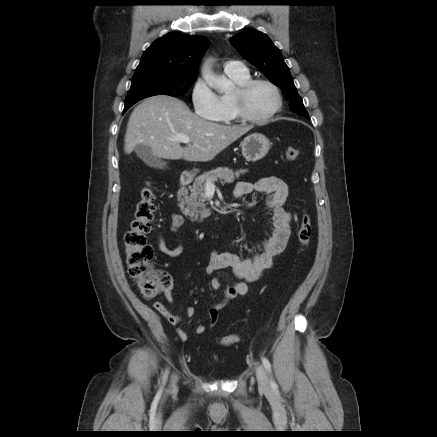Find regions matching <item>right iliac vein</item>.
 Instances as JSON below:
<instances>
[{
  "instance_id": "63e3f726",
  "label": "right iliac vein",
  "mask_w": 437,
  "mask_h": 437,
  "mask_svg": "<svg viewBox=\"0 0 437 437\" xmlns=\"http://www.w3.org/2000/svg\"><path fill=\"white\" fill-rule=\"evenodd\" d=\"M176 382H177V377L174 376V377L172 378V384H171V385H172L173 387H175Z\"/></svg>"
}]
</instances>
